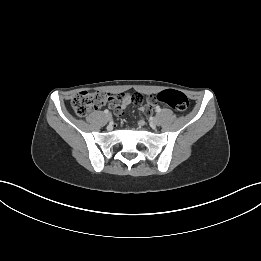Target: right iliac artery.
Masks as SVG:
<instances>
[{"label":"right iliac artery","instance_id":"obj_1","mask_svg":"<svg viewBox=\"0 0 261 261\" xmlns=\"http://www.w3.org/2000/svg\"><path fill=\"white\" fill-rule=\"evenodd\" d=\"M104 113H105V114H108V113H109V111L106 109V110H104Z\"/></svg>","mask_w":261,"mask_h":261}]
</instances>
